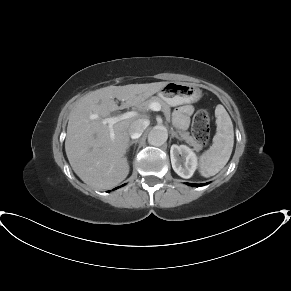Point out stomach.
Returning <instances> with one entry per match:
<instances>
[{
    "mask_svg": "<svg viewBox=\"0 0 291 291\" xmlns=\"http://www.w3.org/2000/svg\"><path fill=\"white\" fill-rule=\"evenodd\" d=\"M158 95L167 104L176 106L196 102L201 97V90L188 83L168 82L158 91Z\"/></svg>",
    "mask_w": 291,
    "mask_h": 291,
    "instance_id": "obj_1",
    "label": "stomach"
}]
</instances>
